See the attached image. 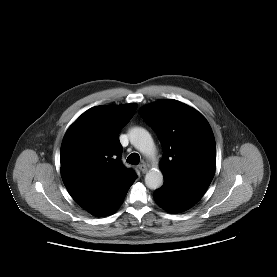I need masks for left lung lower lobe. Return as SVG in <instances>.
<instances>
[{
	"label": "left lung lower lobe",
	"mask_w": 277,
	"mask_h": 277,
	"mask_svg": "<svg viewBox=\"0 0 277 277\" xmlns=\"http://www.w3.org/2000/svg\"><path fill=\"white\" fill-rule=\"evenodd\" d=\"M206 190L196 188L177 187L164 183L161 188L155 191L156 203L171 213H179L195 205Z\"/></svg>",
	"instance_id": "1"
}]
</instances>
